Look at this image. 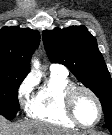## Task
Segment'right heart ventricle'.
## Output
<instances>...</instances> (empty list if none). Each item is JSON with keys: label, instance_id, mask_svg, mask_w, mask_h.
I'll use <instances>...</instances> for the list:
<instances>
[{"label": "right heart ventricle", "instance_id": "1", "mask_svg": "<svg viewBox=\"0 0 112 135\" xmlns=\"http://www.w3.org/2000/svg\"><path fill=\"white\" fill-rule=\"evenodd\" d=\"M73 86L67 74L50 72L46 82L31 97L26 108L27 114L53 125L74 128L77 125L68 116L64 107L63 95Z\"/></svg>", "mask_w": 112, "mask_h": 135}]
</instances>
